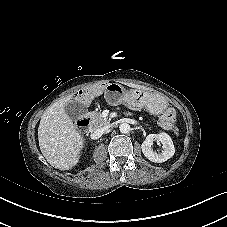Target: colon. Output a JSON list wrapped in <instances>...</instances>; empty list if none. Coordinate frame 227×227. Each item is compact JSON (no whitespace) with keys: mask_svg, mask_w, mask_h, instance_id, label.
Listing matches in <instances>:
<instances>
[{"mask_svg":"<svg viewBox=\"0 0 227 227\" xmlns=\"http://www.w3.org/2000/svg\"><path fill=\"white\" fill-rule=\"evenodd\" d=\"M97 96L96 95H92V98L95 99Z\"/></svg>","mask_w":227,"mask_h":227,"instance_id":"colon-1","label":"colon"}]
</instances>
